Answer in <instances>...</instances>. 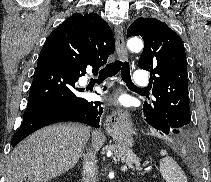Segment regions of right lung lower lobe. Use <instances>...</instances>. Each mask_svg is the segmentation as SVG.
I'll use <instances>...</instances> for the list:
<instances>
[{
  "mask_svg": "<svg viewBox=\"0 0 211 182\" xmlns=\"http://www.w3.org/2000/svg\"><path fill=\"white\" fill-rule=\"evenodd\" d=\"M87 66L99 68L82 52L65 24L56 28L40 52L28 106L12 146L34 131L57 122L75 121L99 127L101 102L80 97L78 92L82 90L75 87Z\"/></svg>",
  "mask_w": 211,
  "mask_h": 182,
  "instance_id": "98d812e1",
  "label": "right lung lower lobe"
}]
</instances>
